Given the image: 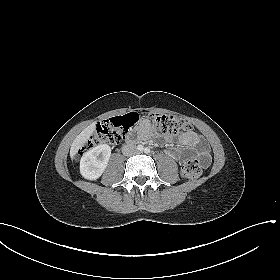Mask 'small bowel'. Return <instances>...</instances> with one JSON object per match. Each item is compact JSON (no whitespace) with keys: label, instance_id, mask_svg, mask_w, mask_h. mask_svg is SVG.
<instances>
[{"label":"small bowel","instance_id":"c3829d8e","mask_svg":"<svg viewBox=\"0 0 280 280\" xmlns=\"http://www.w3.org/2000/svg\"><path fill=\"white\" fill-rule=\"evenodd\" d=\"M150 129L145 121H143L136 134V139H146L150 135ZM180 144L187 149H195L199 155L207 158L206 165L209 163V147L205 140L195 131H187L179 138ZM179 153L178 151H176Z\"/></svg>","mask_w":280,"mask_h":280}]
</instances>
